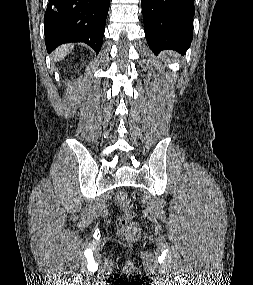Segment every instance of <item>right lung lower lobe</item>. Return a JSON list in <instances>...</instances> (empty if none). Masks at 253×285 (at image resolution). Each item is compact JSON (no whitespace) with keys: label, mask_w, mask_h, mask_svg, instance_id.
<instances>
[{"label":"right lung lower lobe","mask_w":253,"mask_h":285,"mask_svg":"<svg viewBox=\"0 0 253 285\" xmlns=\"http://www.w3.org/2000/svg\"><path fill=\"white\" fill-rule=\"evenodd\" d=\"M110 0H49L44 16L47 52L68 42L101 49Z\"/></svg>","instance_id":"obj_1"}]
</instances>
